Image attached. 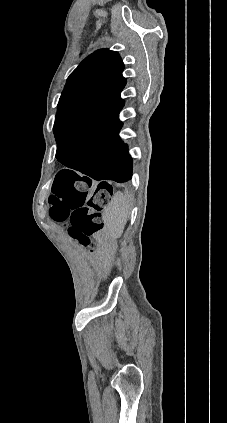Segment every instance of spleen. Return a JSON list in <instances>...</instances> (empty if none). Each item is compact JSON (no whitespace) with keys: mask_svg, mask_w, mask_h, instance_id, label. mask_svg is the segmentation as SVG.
Listing matches in <instances>:
<instances>
[{"mask_svg":"<svg viewBox=\"0 0 227 423\" xmlns=\"http://www.w3.org/2000/svg\"><path fill=\"white\" fill-rule=\"evenodd\" d=\"M128 213L129 208L124 194L116 192L102 215L106 227L113 233L114 237H121Z\"/></svg>","mask_w":227,"mask_h":423,"instance_id":"3e777b00","label":"spleen"}]
</instances>
